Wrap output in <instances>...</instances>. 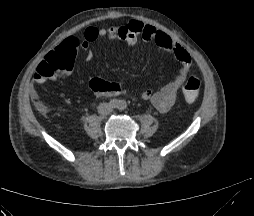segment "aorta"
<instances>
[{"label": "aorta", "instance_id": "obj_1", "mask_svg": "<svg viewBox=\"0 0 254 216\" xmlns=\"http://www.w3.org/2000/svg\"><path fill=\"white\" fill-rule=\"evenodd\" d=\"M119 102L123 103L124 107L126 106V103L124 101L121 100Z\"/></svg>", "mask_w": 254, "mask_h": 216}]
</instances>
